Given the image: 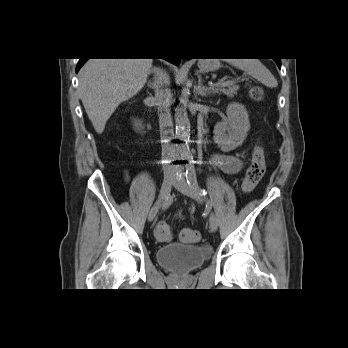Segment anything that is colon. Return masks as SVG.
Masks as SVG:
<instances>
[{
    "label": "colon",
    "instance_id": "1",
    "mask_svg": "<svg viewBox=\"0 0 348 348\" xmlns=\"http://www.w3.org/2000/svg\"><path fill=\"white\" fill-rule=\"evenodd\" d=\"M251 96L255 100H260L263 96V91L259 87L251 89ZM266 171V156L264 148L257 144L252 152V160L245 172L242 188L245 192H250L254 189ZM155 236L158 240L167 242L172 238L170 226L165 222H160L155 227ZM179 238L184 243H194L199 241L200 235L197 231L189 228H184L179 233Z\"/></svg>",
    "mask_w": 348,
    "mask_h": 348
}]
</instances>
